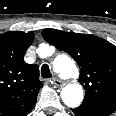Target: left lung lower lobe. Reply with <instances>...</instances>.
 <instances>
[{"mask_svg":"<svg viewBox=\"0 0 116 116\" xmlns=\"http://www.w3.org/2000/svg\"><path fill=\"white\" fill-rule=\"evenodd\" d=\"M115 110L116 106L82 103L73 112L76 116H109Z\"/></svg>","mask_w":116,"mask_h":116,"instance_id":"1","label":"left lung lower lobe"}]
</instances>
